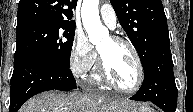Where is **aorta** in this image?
<instances>
[{
  "instance_id": "obj_1",
  "label": "aorta",
  "mask_w": 193,
  "mask_h": 112,
  "mask_svg": "<svg viewBox=\"0 0 193 112\" xmlns=\"http://www.w3.org/2000/svg\"><path fill=\"white\" fill-rule=\"evenodd\" d=\"M81 16L83 26L92 44L97 45L103 38L108 37L109 32L102 25L99 16V0H83Z\"/></svg>"
}]
</instances>
